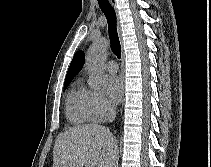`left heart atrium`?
Here are the masks:
<instances>
[{
	"instance_id": "39dd6f15",
	"label": "left heart atrium",
	"mask_w": 211,
	"mask_h": 167,
	"mask_svg": "<svg viewBox=\"0 0 211 167\" xmlns=\"http://www.w3.org/2000/svg\"><path fill=\"white\" fill-rule=\"evenodd\" d=\"M123 81L118 76H108L104 80V91L110 104H117L123 95Z\"/></svg>"
}]
</instances>
